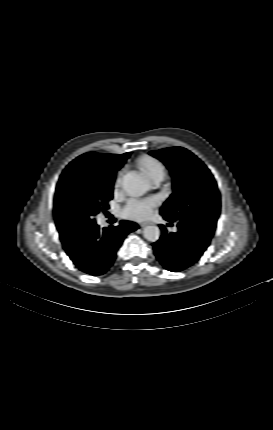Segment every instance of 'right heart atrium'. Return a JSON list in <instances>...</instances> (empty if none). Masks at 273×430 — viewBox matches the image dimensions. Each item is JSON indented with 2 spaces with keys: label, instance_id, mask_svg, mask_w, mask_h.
I'll use <instances>...</instances> for the list:
<instances>
[{
  "label": "right heart atrium",
  "instance_id": "d8ad5b80",
  "mask_svg": "<svg viewBox=\"0 0 273 430\" xmlns=\"http://www.w3.org/2000/svg\"><path fill=\"white\" fill-rule=\"evenodd\" d=\"M119 183H120V176H118L117 179H116V186H118Z\"/></svg>",
  "mask_w": 273,
  "mask_h": 430
}]
</instances>
